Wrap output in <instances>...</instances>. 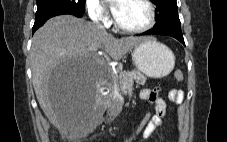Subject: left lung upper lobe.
Masks as SVG:
<instances>
[{"mask_svg":"<svg viewBox=\"0 0 227 142\" xmlns=\"http://www.w3.org/2000/svg\"><path fill=\"white\" fill-rule=\"evenodd\" d=\"M156 4L157 23L154 27H170L181 30L176 0H152Z\"/></svg>","mask_w":227,"mask_h":142,"instance_id":"1","label":"left lung upper lobe"}]
</instances>
